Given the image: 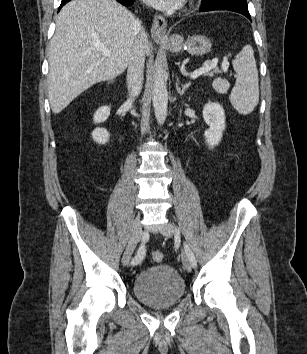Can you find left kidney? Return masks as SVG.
<instances>
[{"label": "left kidney", "instance_id": "5707ae66", "mask_svg": "<svg viewBox=\"0 0 307 354\" xmlns=\"http://www.w3.org/2000/svg\"><path fill=\"white\" fill-rule=\"evenodd\" d=\"M203 118L209 126L204 132V136L208 147L213 149L220 143L225 130L224 109L218 103L209 102L203 108Z\"/></svg>", "mask_w": 307, "mask_h": 354}]
</instances>
